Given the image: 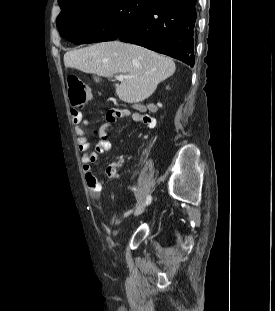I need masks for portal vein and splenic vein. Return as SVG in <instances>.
Instances as JSON below:
<instances>
[{
    "mask_svg": "<svg viewBox=\"0 0 275 311\" xmlns=\"http://www.w3.org/2000/svg\"><path fill=\"white\" fill-rule=\"evenodd\" d=\"M125 78H127V76H125V75H117L116 76V79L118 80V81H123Z\"/></svg>",
    "mask_w": 275,
    "mask_h": 311,
    "instance_id": "18ae733b",
    "label": "portal vein and splenic vein"
}]
</instances>
